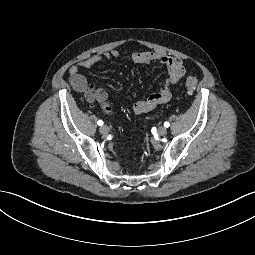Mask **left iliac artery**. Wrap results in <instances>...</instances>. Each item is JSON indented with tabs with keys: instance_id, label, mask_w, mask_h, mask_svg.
I'll use <instances>...</instances> for the list:
<instances>
[{
	"instance_id": "left-iliac-artery-1",
	"label": "left iliac artery",
	"mask_w": 255,
	"mask_h": 255,
	"mask_svg": "<svg viewBox=\"0 0 255 255\" xmlns=\"http://www.w3.org/2000/svg\"><path fill=\"white\" fill-rule=\"evenodd\" d=\"M169 125H170L169 122H165V123H164V126L167 127V128L169 127Z\"/></svg>"
}]
</instances>
